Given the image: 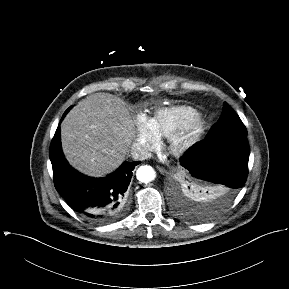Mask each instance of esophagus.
<instances>
[{
    "mask_svg": "<svg viewBox=\"0 0 289 289\" xmlns=\"http://www.w3.org/2000/svg\"><path fill=\"white\" fill-rule=\"evenodd\" d=\"M162 174H166L167 173V171H166V169L165 168H163V167H161V166H157L156 167Z\"/></svg>",
    "mask_w": 289,
    "mask_h": 289,
    "instance_id": "obj_1",
    "label": "esophagus"
}]
</instances>
